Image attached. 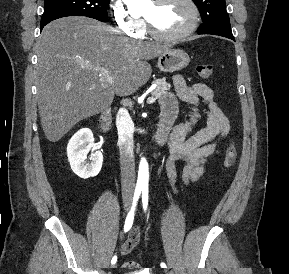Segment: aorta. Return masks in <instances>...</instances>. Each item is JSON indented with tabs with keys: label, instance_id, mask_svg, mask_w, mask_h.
Here are the masks:
<instances>
[{
	"label": "aorta",
	"instance_id": "1",
	"mask_svg": "<svg viewBox=\"0 0 289 274\" xmlns=\"http://www.w3.org/2000/svg\"><path fill=\"white\" fill-rule=\"evenodd\" d=\"M130 8L131 7H141L148 0H123ZM149 179V169L148 163L145 158H142L139 164L138 171V184L147 185Z\"/></svg>",
	"mask_w": 289,
	"mask_h": 274
}]
</instances>
